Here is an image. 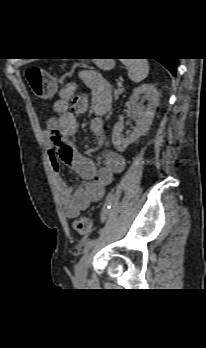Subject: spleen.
I'll return each mask as SVG.
<instances>
[{"label":"spleen","instance_id":"3e777b00","mask_svg":"<svg viewBox=\"0 0 206 348\" xmlns=\"http://www.w3.org/2000/svg\"><path fill=\"white\" fill-rule=\"evenodd\" d=\"M122 63L128 68V76L133 82L139 83L148 76L149 64L146 59H123Z\"/></svg>","mask_w":206,"mask_h":348}]
</instances>
